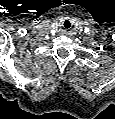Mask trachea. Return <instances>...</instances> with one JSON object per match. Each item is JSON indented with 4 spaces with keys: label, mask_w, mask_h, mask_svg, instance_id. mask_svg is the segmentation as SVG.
<instances>
[{
    "label": "trachea",
    "mask_w": 115,
    "mask_h": 119,
    "mask_svg": "<svg viewBox=\"0 0 115 119\" xmlns=\"http://www.w3.org/2000/svg\"><path fill=\"white\" fill-rule=\"evenodd\" d=\"M62 27H63L64 29H69V28L71 27V22H70L69 20H64V21L62 22Z\"/></svg>",
    "instance_id": "obj_1"
}]
</instances>
